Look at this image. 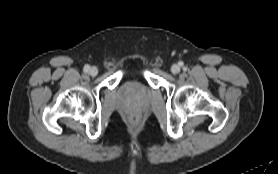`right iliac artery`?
Masks as SVG:
<instances>
[{"label":"right iliac artery","mask_w":278,"mask_h":174,"mask_svg":"<svg viewBox=\"0 0 278 174\" xmlns=\"http://www.w3.org/2000/svg\"><path fill=\"white\" fill-rule=\"evenodd\" d=\"M89 69H90V66H89V65H85V66H84V71H85V72H88Z\"/></svg>","instance_id":"82829eb1"}]
</instances>
